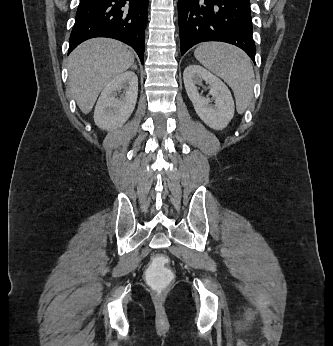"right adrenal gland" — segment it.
<instances>
[{
    "instance_id": "2a0ac1e0",
    "label": "right adrenal gland",
    "mask_w": 333,
    "mask_h": 346,
    "mask_svg": "<svg viewBox=\"0 0 333 346\" xmlns=\"http://www.w3.org/2000/svg\"><path fill=\"white\" fill-rule=\"evenodd\" d=\"M131 69H135V70H137V66H136V64H135V65H133Z\"/></svg>"
}]
</instances>
